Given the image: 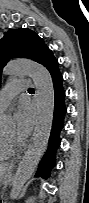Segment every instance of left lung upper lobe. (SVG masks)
Listing matches in <instances>:
<instances>
[{
	"mask_svg": "<svg viewBox=\"0 0 89 203\" xmlns=\"http://www.w3.org/2000/svg\"><path fill=\"white\" fill-rule=\"evenodd\" d=\"M47 46L44 40L29 29H11L0 39V72L11 58H29L39 63Z\"/></svg>",
	"mask_w": 89,
	"mask_h": 203,
	"instance_id": "5c2ea615",
	"label": "left lung upper lobe"
}]
</instances>
